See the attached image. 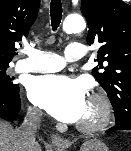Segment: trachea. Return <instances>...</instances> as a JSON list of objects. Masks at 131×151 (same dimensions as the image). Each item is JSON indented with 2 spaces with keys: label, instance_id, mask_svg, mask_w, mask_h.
Wrapping results in <instances>:
<instances>
[{
  "label": "trachea",
  "instance_id": "trachea-1",
  "mask_svg": "<svg viewBox=\"0 0 131 151\" xmlns=\"http://www.w3.org/2000/svg\"><path fill=\"white\" fill-rule=\"evenodd\" d=\"M62 4L61 0H51L50 13H51V24L52 29L55 31L62 19Z\"/></svg>",
  "mask_w": 131,
  "mask_h": 151
}]
</instances>
